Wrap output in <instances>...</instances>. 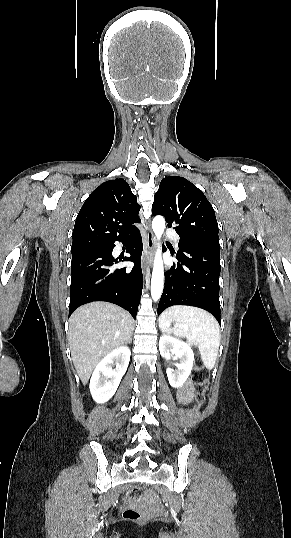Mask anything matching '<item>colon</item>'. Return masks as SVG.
<instances>
[{
  "mask_svg": "<svg viewBox=\"0 0 291 538\" xmlns=\"http://www.w3.org/2000/svg\"><path fill=\"white\" fill-rule=\"evenodd\" d=\"M192 379L196 386L195 402L197 405H201L204 402L205 391L208 387L209 375L207 370L202 365L198 364L193 372ZM140 495L141 490L137 487H132L127 491V497L131 500L139 498ZM124 517L132 521L145 520V516L134 509H126L124 511Z\"/></svg>",
  "mask_w": 291,
  "mask_h": 538,
  "instance_id": "colon-1",
  "label": "colon"
}]
</instances>
